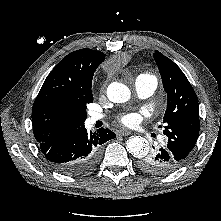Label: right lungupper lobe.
Instances as JSON below:
<instances>
[{
    "mask_svg": "<svg viewBox=\"0 0 221 221\" xmlns=\"http://www.w3.org/2000/svg\"><path fill=\"white\" fill-rule=\"evenodd\" d=\"M104 57L100 51L80 49L64 57L50 72L32 109L38 143L58 140L84 125L82 103L92 93V78Z\"/></svg>",
    "mask_w": 221,
    "mask_h": 221,
    "instance_id": "obj_1",
    "label": "right lung upper lobe"
}]
</instances>
